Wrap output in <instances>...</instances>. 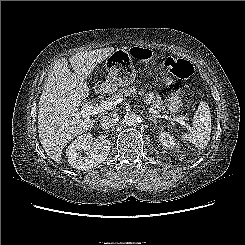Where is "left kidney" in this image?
<instances>
[{"label":"left kidney","instance_id":"1","mask_svg":"<svg viewBox=\"0 0 245 245\" xmlns=\"http://www.w3.org/2000/svg\"><path fill=\"white\" fill-rule=\"evenodd\" d=\"M159 140L163 146L169 149L173 148L176 145V141L174 137L171 134H169V132L166 131H161L159 133Z\"/></svg>","mask_w":245,"mask_h":245}]
</instances>
